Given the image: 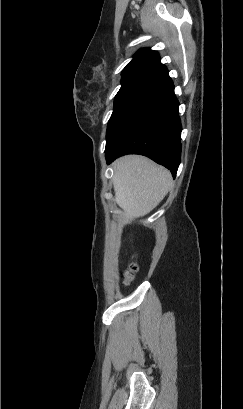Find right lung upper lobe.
Masks as SVG:
<instances>
[{"label": "right lung upper lobe", "instance_id": "obj_1", "mask_svg": "<svg viewBox=\"0 0 243 409\" xmlns=\"http://www.w3.org/2000/svg\"><path fill=\"white\" fill-rule=\"evenodd\" d=\"M167 77H169L168 70L160 62L158 52L144 48L139 50L123 69L121 81L135 78H152L163 81Z\"/></svg>", "mask_w": 243, "mask_h": 409}]
</instances>
